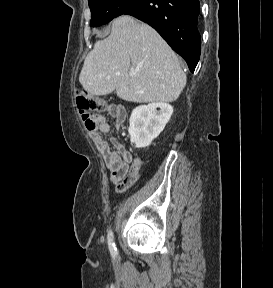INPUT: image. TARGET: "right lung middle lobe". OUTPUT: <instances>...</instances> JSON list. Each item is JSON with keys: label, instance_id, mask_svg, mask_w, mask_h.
Masks as SVG:
<instances>
[{"label": "right lung middle lobe", "instance_id": "right-lung-middle-lobe-1", "mask_svg": "<svg viewBox=\"0 0 273 288\" xmlns=\"http://www.w3.org/2000/svg\"><path fill=\"white\" fill-rule=\"evenodd\" d=\"M135 0H88L91 10L90 24L97 27L122 15Z\"/></svg>", "mask_w": 273, "mask_h": 288}]
</instances>
